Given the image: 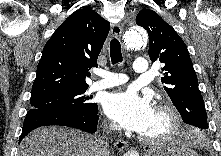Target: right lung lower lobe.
<instances>
[{
    "instance_id": "obj_1",
    "label": "right lung lower lobe",
    "mask_w": 221,
    "mask_h": 156,
    "mask_svg": "<svg viewBox=\"0 0 221 156\" xmlns=\"http://www.w3.org/2000/svg\"><path fill=\"white\" fill-rule=\"evenodd\" d=\"M98 108L92 112L48 111L30 109L26 115L19 142L32 130L47 125H61L81 129L88 133L97 131Z\"/></svg>"
}]
</instances>
